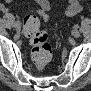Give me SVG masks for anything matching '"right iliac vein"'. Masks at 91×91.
<instances>
[{
	"mask_svg": "<svg viewBox=\"0 0 91 91\" xmlns=\"http://www.w3.org/2000/svg\"><path fill=\"white\" fill-rule=\"evenodd\" d=\"M14 27H15V29H16L17 31H20V30H21L20 25H15Z\"/></svg>",
	"mask_w": 91,
	"mask_h": 91,
	"instance_id": "1",
	"label": "right iliac vein"
}]
</instances>
